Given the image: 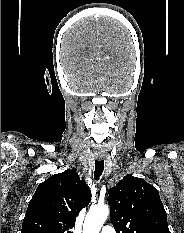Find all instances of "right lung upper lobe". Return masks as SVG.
I'll return each mask as SVG.
<instances>
[{
	"label": "right lung upper lobe",
	"mask_w": 184,
	"mask_h": 233,
	"mask_svg": "<svg viewBox=\"0 0 184 233\" xmlns=\"http://www.w3.org/2000/svg\"><path fill=\"white\" fill-rule=\"evenodd\" d=\"M91 191L76 171L69 169L39 184L29 202L21 233H71Z\"/></svg>",
	"instance_id": "1"
}]
</instances>
